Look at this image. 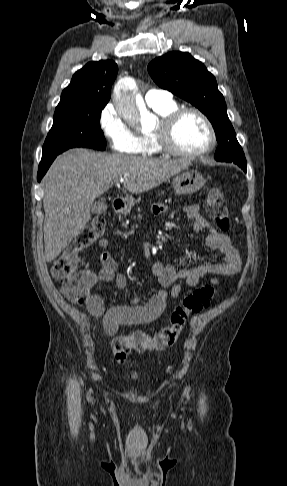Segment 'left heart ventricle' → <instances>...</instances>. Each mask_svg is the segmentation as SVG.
<instances>
[{
  "instance_id": "b2bd125f",
  "label": "left heart ventricle",
  "mask_w": 287,
  "mask_h": 486,
  "mask_svg": "<svg viewBox=\"0 0 287 486\" xmlns=\"http://www.w3.org/2000/svg\"><path fill=\"white\" fill-rule=\"evenodd\" d=\"M172 140L178 149L193 152L206 147L209 135L203 121L197 115L188 113L177 122Z\"/></svg>"
}]
</instances>
